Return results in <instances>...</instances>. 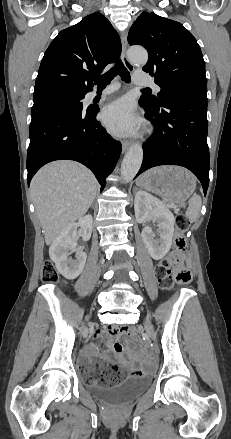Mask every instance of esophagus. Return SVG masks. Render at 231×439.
Wrapping results in <instances>:
<instances>
[{
  "label": "esophagus",
  "mask_w": 231,
  "mask_h": 439,
  "mask_svg": "<svg viewBox=\"0 0 231 439\" xmlns=\"http://www.w3.org/2000/svg\"><path fill=\"white\" fill-rule=\"evenodd\" d=\"M121 43H122V61L125 65V67L130 71L133 72L134 71V65L129 61L128 57H127V47H128V42H127V36L126 33H121ZM130 146V143L128 141H123L122 142V151L125 152Z\"/></svg>",
  "instance_id": "esophagus-1"
}]
</instances>
